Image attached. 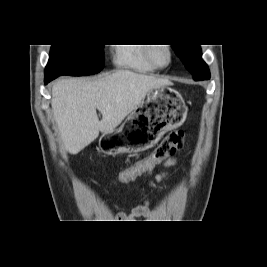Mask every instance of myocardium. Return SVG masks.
<instances>
[{
	"label": "myocardium",
	"mask_w": 267,
	"mask_h": 267,
	"mask_svg": "<svg viewBox=\"0 0 267 267\" xmlns=\"http://www.w3.org/2000/svg\"><path fill=\"white\" fill-rule=\"evenodd\" d=\"M159 49H163L167 53V60L165 63H160L157 60V52ZM147 56L149 61L158 69H163L168 67L173 61L172 49L167 44H154V46H149L147 51Z\"/></svg>",
	"instance_id": "1"
}]
</instances>
